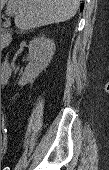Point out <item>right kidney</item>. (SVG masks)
I'll use <instances>...</instances> for the list:
<instances>
[{
  "instance_id": "obj_1",
  "label": "right kidney",
  "mask_w": 109,
  "mask_h": 170,
  "mask_svg": "<svg viewBox=\"0 0 109 170\" xmlns=\"http://www.w3.org/2000/svg\"><path fill=\"white\" fill-rule=\"evenodd\" d=\"M55 51L54 42L47 37L34 38L29 43V64L25 69L23 80L35 79L50 63Z\"/></svg>"
}]
</instances>
